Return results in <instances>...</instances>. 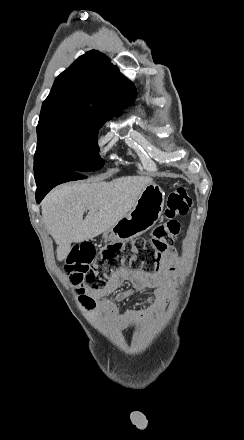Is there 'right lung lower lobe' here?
Here are the masks:
<instances>
[{"label": "right lung lower lobe", "instance_id": "98d812e1", "mask_svg": "<svg viewBox=\"0 0 244 440\" xmlns=\"http://www.w3.org/2000/svg\"><path fill=\"white\" fill-rule=\"evenodd\" d=\"M84 173L71 171L68 169H46L40 173H35L37 185L36 202L40 203L45 195L55 186L79 179H84Z\"/></svg>", "mask_w": 244, "mask_h": 440}]
</instances>
